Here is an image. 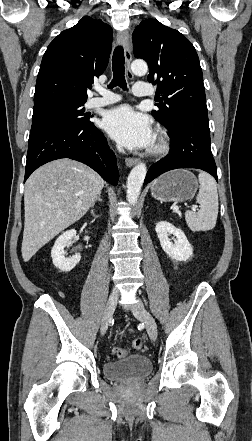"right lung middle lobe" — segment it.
Wrapping results in <instances>:
<instances>
[{
  "label": "right lung middle lobe",
  "mask_w": 252,
  "mask_h": 441,
  "mask_svg": "<svg viewBox=\"0 0 252 441\" xmlns=\"http://www.w3.org/2000/svg\"><path fill=\"white\" fill-rule=\"evenodd\" d=\"M86 101L52 99L34 104L32 125L38 123H63L82 125L89 122L83 105Z\"/></svg>",
  "instance_id": "dd1d6c3e"
}]
</instances>
